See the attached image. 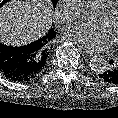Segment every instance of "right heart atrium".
<instances>
[{
    "instance_id": "obj_1",
    "label": "right heart atrium",
    "mask_w": 118,
    "mask_h": 118,
    "mask_svg": "<svg viewBox=\"0 0 118 118\" xmlns=\"http://www.w3.org/2000/svg\"><path fill=\"white\" fill-rule=\"evenodd\" d=\"M75 1L76 0H61V6L55 12V18L58 22L65 23L73 19L71 6Z\"/></svg>"
}]
</instances>
